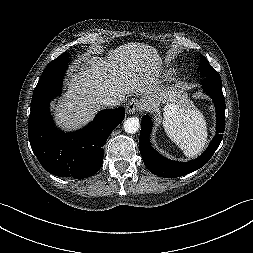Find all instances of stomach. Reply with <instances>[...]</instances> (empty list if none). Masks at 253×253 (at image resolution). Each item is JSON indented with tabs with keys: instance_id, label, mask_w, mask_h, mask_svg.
Returning a JSON list of instances; mask_svg holds the SVG:
<instances>
[{
	"instance_id": "obj_1",
	"label": "stomach",
	"mask_w": 253,
	"mask_h": 253,
	"mask_svg": "<svg viewBox=\"0 0 253 253\" xmlns=\"http://www.w3.org/2000/svg\"><path fill=\"white\" fill-rule=\"evenodd\" d=\"M170 95H171V96H176L177 94L174 93V92H171ZM143 104H144V106H147V102L143 101Z\"/></svg>"
}]
</instances>
